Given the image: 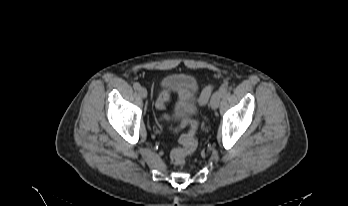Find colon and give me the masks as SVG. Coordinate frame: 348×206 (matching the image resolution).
<instances>
[{"label":"colon","instance_id":"1","mask_svg":"<svg viewBox=\"0 0 348 206\" xmlns=\"http://www.w3.org/2000/svg\"><path fill=\"white\" fill-rule=\"evenodd\" d=\"M212 86H207L199 100L200 103L207 102L211 92ZM168 98L167 93H163L159 99V105L163 106ZM190 125V130L187 134L180 137L181 147L175 148L171 151L170 160L175 166H183L188 155H190L197 147L196 133L198 130V124L194 120H184L183 125Z\"/></svg>","mask_w":348,"mask_h":206}]
</instances>
